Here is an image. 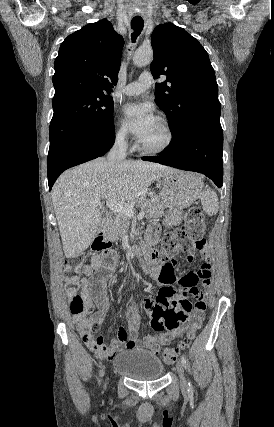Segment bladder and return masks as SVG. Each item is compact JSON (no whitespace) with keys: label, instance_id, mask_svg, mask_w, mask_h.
Returning a JSON list of instances; mask_svg holds the SVG:
<instances>
[{"label":"bladder","instance_id":"obj_1","mask_svg":"<svg viewBox=\"0 0 274 427\" xmlns=\"http://www.w3.org/2000/svg\"><path fill=\"white\" fill-rule=\"evenodd\" d=\"M116 374L126 375L133 380L162 378L166 367L163 360L145 349H131L114 356Z\"/></svg>","mask_w":274,"mask_h":427}]
</instances>
